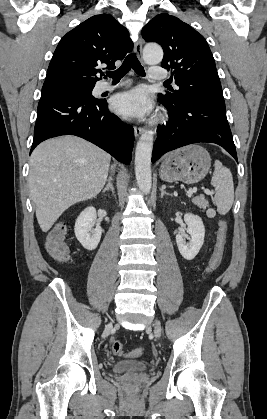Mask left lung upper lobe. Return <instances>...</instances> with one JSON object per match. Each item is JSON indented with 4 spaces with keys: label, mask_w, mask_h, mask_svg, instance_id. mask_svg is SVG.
I'll return each instance as SVG.
<instances>
[{
    "label": "left lung upper lobe",
    "mask_w": 267,
    "mask_h": 419,
    "mask_svg": "<svg viewBox=\"0 0 267 419\" xmlns=\"http://www.w3.org/2000/svg\"><path fill=\"white\" fill-rule=\"evenodd\" d=\"M147 42H157L164 50L161 66L172 70L178 90L159 93V101L181 105L199 96L222 95V87L211 50L205 38L175 16L156 15L142 29Z\"/></svg>",
    "instance_id": "1"
}]
</instances>
